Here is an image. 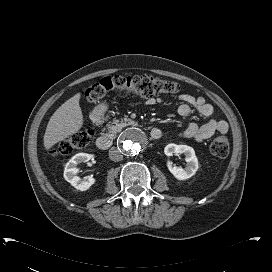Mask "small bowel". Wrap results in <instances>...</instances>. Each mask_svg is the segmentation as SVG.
<instances>
[{"label": "small bowel", "mask_w": 272, "mask_h": 272, "mask_svg": "<svg viewBox=\"0 0 272 272\" xmlns=\"http://www.w3.org/2000/svg\"><path fill=\"white\" fill-rule=\"evenodd\" d=\"M178 98L182 101L178 107V114L182 117H189L192 109H196L198 114L207 119L202 125L195 122H190L187 127L181 132L183 138H194L198 141L208 139L215 133L225 134L228 132V124L223 119L213 118L214 107L206 102L203 97H195L187 93H181ZM162 103L161 98H151L145 101V105L151 106Z\"/></svg>", "instance_id": "obj_1"}]
</instances>
